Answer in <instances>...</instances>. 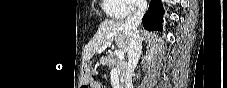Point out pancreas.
Returning <instances> with one entry per match:
<instances>
[{
  "label": "pancreas",
  "instance_id": "1",
  "mask_svg": "<svg viewBox=\"0 0 227 88\" xmlns=\"http://www.w3.org/2000/svg\"><path fill=\"white\" fill-rule=\"evenodd\" d=\"M106 65L109 68H115L117 70L119 78L123 83L126 78V68H127L126 63H124L123 61H119L113 56H109L106 59Z\"/></svg>",
  "mask_w": 227,
  "mask_h": 88
}]
</instances>
